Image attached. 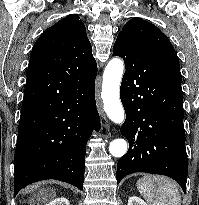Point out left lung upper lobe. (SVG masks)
<instances>
[{
    "label": "left lung upper lobe",
    "mask_w": 199,
    "mask_h": 205,
    "mask_svg": "<svg viewBox=\"0 0 199 205\" xmlns=\"http://www.w3.org/2000/svg\"><path fill=\"white\" fill-rule=\"evenodd\" d=\"M117 39L125 40L151 57L171 81L181 87L182 78L175 49L155 25L138 17L132 18L125 24Z\"/></svg>",
    "instance_id": "obj_1"
}]
</instances>
